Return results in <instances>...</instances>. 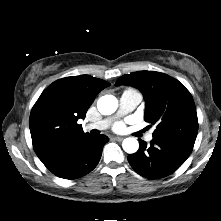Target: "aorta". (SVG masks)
Masks as SVG:
<instances>
[{"label":"aorta","instance_id":"obj_1","mask_svg":"<svg viewBox=\"0 0 221 221\" xmlns=\"http://www.w3.org/2000/svg\"><path fill=\"white\" fill-rule=\"evenodd\" d=\"M118 107V100L112 95H104L99 98L97 102L98 111L102 115L113 114ZM123 150L129 154L137 152L139 148V143L136 138L128 137L122 142Z\"/></svg>","mask_w":221,"mask_h":221}]
</instances>
